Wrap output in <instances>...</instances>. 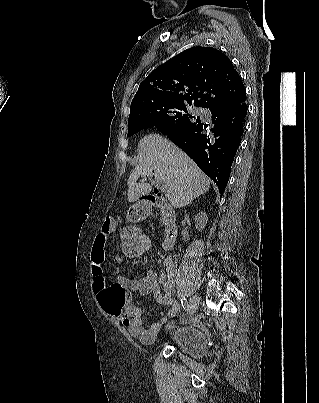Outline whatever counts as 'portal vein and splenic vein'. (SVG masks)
Wrapping results in <instances>:
<instances>
[{"label": "portal vein and splenic vein", "instance_id": "1", "mask_svg": "<svg viewBox=\"0 0 319 403\" xmlns=\"http://www.w3.org/2000/svg\"><path fill=\"white\" fill-rule=\"evenodd\" d=\"M160 189H161V191H163V192H166V191H167V186L165 185L164 182H160Z\"/></svg>", "mask_w": 319, "mask_h": 403}]
</instances>
